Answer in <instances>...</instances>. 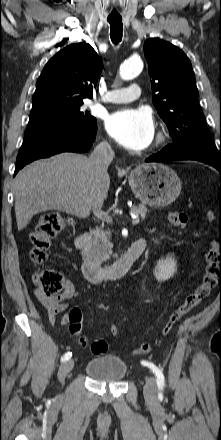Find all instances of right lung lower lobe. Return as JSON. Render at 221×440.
<instances>
[{"label":"right lung lower lobe","mask_w":221,"mask_h":440,"mask_svg":"<svg viewBox=\"0 0 221 440\" xmlns=\"http://www.w3.org/2000/svg\"><path fill=\"white\" fill-rule=\"evenodd\" d=\"M97 125L91 129L68 128L54 124L28 127L19 150L14 175L26 164L60 152H87L95 140Z\"/></svg>","instance_id":"98d812e1"}]
</instances>
